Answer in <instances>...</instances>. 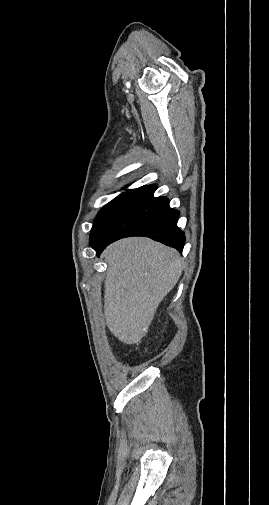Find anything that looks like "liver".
Returning a JSON list of instances; mask_svg holds the SVG:
<instances>
[{"label": "liver", "instance_id": "obj_1", "mask_svg": "<svg viewBox=\"0 0 269 505\" xmlns=\"http://www.w3.org/2000/svg\"><path fill=\"white\" fill-rule=\"evenodd\" d=\"M108 264L104 315L111 333L125 344L139 343L163 298L182 273L179 253L148 238L119 240L103 252Z\"/></svg>", "mask_w": 269, "mask_h": 505}]
</instances>
